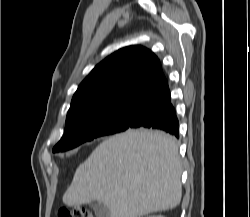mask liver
Listing matches in <instances>:
<instances>
[{"mask_svg": "<svg viewBox=\"0 0 250 217\" xmlns=\"http://www.w3.org/2000/svg\"><path fill=\"white\" fill-rule=\"evenodd\" d=\"M177 140L147 129H129L97 146L63 195L67 206L101 202L110 217H141L175 208L182 197Z\"/></svg>", "mask_w": 250, "mask_h": 217, "instance_id": "liver-1", "label": "liver"}]
</instances>
